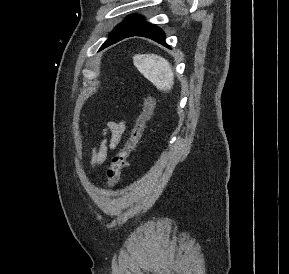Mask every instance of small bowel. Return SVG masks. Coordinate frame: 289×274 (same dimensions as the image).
Wrapping results in <instances>:
<instances>
[{
	"label": "small bowel",
	"instance_id": "c3829d8e",
	"mask_svg": "<svg viewBox=\"0 0 289 274\" xmlns=\"http://www.w3.org/2000/svg\"><path fill=\"white\" fill-rule=\"evenodd\" d=\"M126 130L124 121H110L103 130L99 142L94 143L91 153V167L95 168L105 163L109 151H114L119 145Z\"/></svg>",
	"mask_w": 289,
	"mask_h": 274
}]
</instances>
